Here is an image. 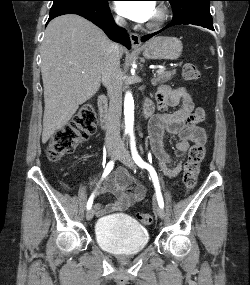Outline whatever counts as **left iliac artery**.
<instances>
[{"instance_id":"1","label":"left iliac artery","mask_w":250,"mask_h":285,"mask_svg":"<svg viewBox=\"0 0 250 285\" xmlns=\"http://www.w3.org/2000/svg\"><path fill=\"white\" fill-rule=\"evenodd\" d=\"M130 145H131L132 157H133V160L135 161V163L139 167L145 168L149 171L150 176H151L152 181H153V184H154L155 191H156L158 204L160 207L163 208L164 202H163L162 194L160 191V185H159L157 173H156L155 169L151 165H149L148 163L144 162L143 159L138 154L137 149H136V144H135V137L133 134L130 135Z\"/></svg>"}]
</instances>
